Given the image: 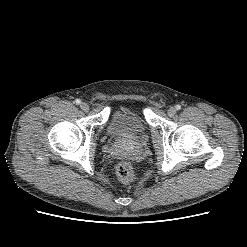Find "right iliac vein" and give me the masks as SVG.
Wrapping results in <instances>:
<instances>
[{
	"instance_id": "1",
	"label": "right iliac vein",
	"mask_w": 247,
	"mask_h": 247,
	"mask_svg": "<svg viewBox=\"0 0 247 247\" xmlns=\"http://www.w3.org/2000/svg\"><path fill=\"white\" fill-rule=\"evenodd\" d=\"M80 108L84 111L87 112L89 110V105L87 103H81Z\"/></svg>"
}]
</instances>
